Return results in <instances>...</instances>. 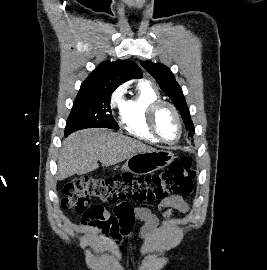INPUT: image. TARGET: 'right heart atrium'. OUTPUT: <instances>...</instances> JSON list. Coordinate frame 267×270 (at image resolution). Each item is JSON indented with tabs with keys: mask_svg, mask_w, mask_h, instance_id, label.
<instances>
[{
	"mask_svg": "<svg viewBox=\"0 0 267 270\" xmlns=\"http://www.w3.org/2000/svg\"><path fill=\"white\" fill-rule=\"evenodd\" d=\"M125 92L126 86L124 84L120 85L113 91L110 97V108L112 111H119V112L122 111V108L125 103L124 100Z\"/></svg>",
	"mask_w": 267,
	"mask_h": 270,
	"instance_id": "obj_1",
	"label": "right heart atrium"
}]
</instances>
